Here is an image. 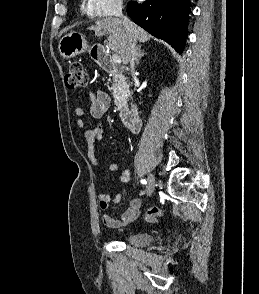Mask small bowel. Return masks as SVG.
Returning <instances> with one entry per match:
<instances>
[{
  "instance_id": "1",
  "label": "small bowel",
  "mask_w": 259,
  "mask_h": 294,
  "mask_svg": "<svg viewBox=\"0 0 259 294\" xmlns=\"http://www.w3.org/2000/svg\"><path fill=\"white\" fill-rule=\"evenodd\" d=\"M90 99V115L98 123L94 127L89 128L85 131V142L87 145V155L89 160L92 162V164L98 166L99 162L95 154V144L102 137L103 125L101 124V120L108 110L111 100L110 96L104 91H97L96 93H92L90 95ZM74 114L78 118L76 121L77 126L81 129L85 128V122L82 119V116L84 115L83 108H75ZM108 170L111 172H118L119 180L121 182H128L131 179L130 171H119V168L116 164H110L108 166ZM119 201V197H112L108 193H102L99 195V207L103 211H107L109 209L110 203H119ZM141 206L142 199L140 197H136L129 202L127 210L122 214L120 218L117 219L107 213H104L102 216V221L109 228L122 229L136 221L139 216Z\"/></svg>"
}]
</instances>
